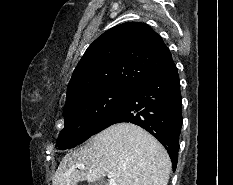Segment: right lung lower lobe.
I'll return each instance as SVG.
<instances>
[{"mask_svg": "<svg viewBox=\"0 0 233 185\" xmlns=\"http://www.w3.org/2000/svg\"><path fill=\"white\" fill-rule=\"evenodd\" d=\"M181 100L179 75L171 63L133 87L94 134L119 122L137 124L167 149L175 171L182 126Z\"/></svg>", "mask_w": 233, "mask_h": 185, "instance_id": "1", "label": "right lung lower lobe"}]
</instances>
